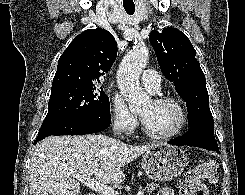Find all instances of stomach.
Segmentation results:
<instances>
[{"label": "stomach", "instance_id": "0dacf381", "mask_svg": "<svg viewBox=\"0 0 245 195\" xmlns=\"http://www.w3.org/2000/svg\"><path fill=\"white\" fill-rule=\"evenodd\" d=\"M185 152L178 147L159 144L142 156V169L155 181H170L182 174L187 165Z\"/></svg>", "mask_w": 245, "mask_h": 195}]
</instances>
